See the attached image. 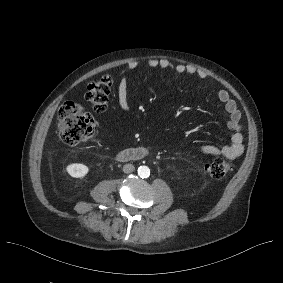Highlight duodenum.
<instances>
[{"label":"duodenum","instance_id":"1","mask_svg":"<svg viewBox=\"0 0 283 283\" xmlns=\"http://www.w3.org/2000/svg\"><path fill=\"white\" fill-rule=\"evenodd\" d=\"M149 155V151L145 148H131L123 150L118 153L117 159L119 161H136L146 158Z\"/></svg>","mask_w":283,"mask_h":283}]
</instances>
